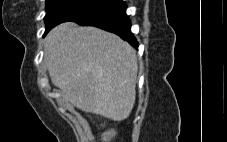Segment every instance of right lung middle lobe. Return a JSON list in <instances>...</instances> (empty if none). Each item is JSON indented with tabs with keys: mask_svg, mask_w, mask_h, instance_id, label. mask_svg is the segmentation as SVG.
Instances as JSON below:
<instances>
[{
	"mask_svg": "<svg viewBox=\"0 0 227 142\" xmlns=\"http://www.w3.org/2000/svg\"><path fill=\"white\" fill-rule=\"evenodd\" d=\"M114 0H47L46 32L59 23L96 11Z\"/></svg>",
	"mask_w": 227,
	"mask_h": 142,
	"instance_id": "1",
	"label": "right lung middle lobe"
}]
</instances>
